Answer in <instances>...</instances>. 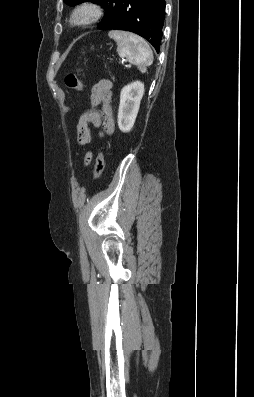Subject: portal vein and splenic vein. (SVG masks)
Listing matches in <instances>:
<instances>
[{
	"label": "portal vein and splenic vein",
	"instance_id": "obj_1",
	"mask_svg": "<svg viewBox=\"0 0 254 397\" xmlns=\"http://www.w3.org/2000/svg\"><path fill=\"white\" fill-rule=\"evenodd\" d=\"M126 67H131V65H130V64H127Z\"/></svg>",
	"mask_w": 254,
	"mask_h": 397
}]
</instances>
